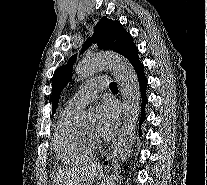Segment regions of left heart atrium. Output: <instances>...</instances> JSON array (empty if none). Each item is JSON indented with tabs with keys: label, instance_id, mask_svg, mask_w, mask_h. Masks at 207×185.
I'll return each instance as SVG.
<instances>
[{
	"label": "left heart atrium",
	"instance_id": "39dd6f15",
	"mask_svg": "<svg viewBox=\"0 0 207 185\" xmlns=\"http://www.w3.org/2000/svg\"><path fill=\"white\" fill-rule=\"evenodd\" d=\"M97 133L103 138H111L119 126V107L106 99L96 107Z\"/></svg>",
	"mask_w": 207,
	"mask_h": 185
}]
</instances>
